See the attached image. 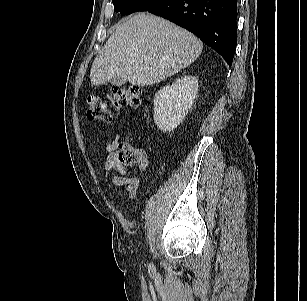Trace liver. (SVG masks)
I'll return each mask as SVG.
<instances>
[{
    "mask_svg": "<svg viewBox=\"0 0 307 301\" xmlns=\"http://www.w3.org/2000/svg\"><path fill=\"white\" fill-rule=\"evenodd\" d=\"M203 43L191 32L152 14L121 23L95 58L92 85L120 76L132 85L159 83L193 63Z\"/></svg>",
    "mask_w": 307,
    "mask_h": 301,
    "instance_id": "1",
    "label": "liver"
}]
</instances>
